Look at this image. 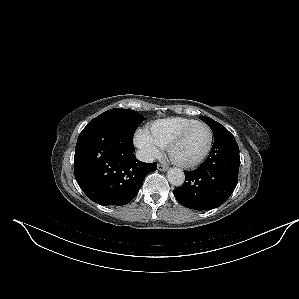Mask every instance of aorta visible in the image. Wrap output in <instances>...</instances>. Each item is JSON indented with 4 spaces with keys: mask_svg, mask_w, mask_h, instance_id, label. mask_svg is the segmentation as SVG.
<instances>
[{
    "mask_svg": "<svg viewBox=\"0 0 299 299\" xmlns=\"http://www.w3.org/2000/svg\"><path fill=\"white\" fill-rule=\"evenodd\" d=\"M167 178L173 186H182L185 181L184 172L179 168H170L167 172Z\"/></svg>",
    "mask_w": 299,
    "mask_h": 299,
    "instance_id": "obj_1",
    "label": "aorta"
}]
</instances>
